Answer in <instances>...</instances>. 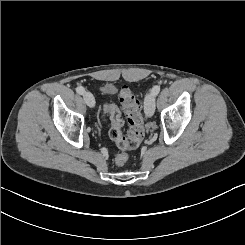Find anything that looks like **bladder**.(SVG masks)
I'll return each instance as SVG.
<instances>
[{
  "label": "bladder",
  "instance_id": "bladder-1",
  "mask_svg": "<svg viewBox=\"0 0 245 245\" xmlns=\"http://www.w3.org/2000/svg\"><path fill=\"white\" fill-rule=\"evenodd\" d=\"M101 89H102L103 92H105V93H110V92H112V91L114 90V88H113L111 85H108V84L103 85V86L101 87Z\"/></svg>",
  "mask_w": 245,
  "mask_h": 245
}]
</instances>
